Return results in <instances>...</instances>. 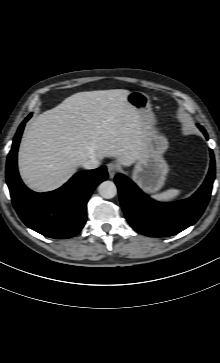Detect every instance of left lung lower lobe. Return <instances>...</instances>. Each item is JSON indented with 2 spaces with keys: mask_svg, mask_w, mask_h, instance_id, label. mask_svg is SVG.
<instances>
[{
  "mask_svg": "<svg viewBox=\"0 0 220 363\" xmlns=\"http://www.w3.org/2000/svg\"><path fill=\"white\" fill-rule=\"evenodd\" d=\"M208 139L202 126H198ZM209 173L199 190L189 199L177 203H159L145 195L126 176L118 174L115 183L120 202L130 225L138 232L151 237L175 235L193 225L204 212L215 178V160L210 150Z\"/></svg>",
  "mask_w": 220,
  "mask_h": 363,
  "instance_id": "left-lung-lower-lobe-1",
  "label": "left lung lower lobe"
}]
</instances>
